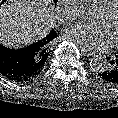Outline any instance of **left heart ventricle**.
Segmentation results:
<instances>
[{
    "instance_id": "left-heart-ventricle-1",
    "label": "left heart ventricle",
    "mask_w": 118,
    "mask_h": 118,
    "mask_svg": "<svg viewBox=\"0 0 118 118\" xmlns=\"http://www.w3.org/2000/svg\"><path fill=\"white\" fill-rule=\"evenodd\" d=\"M95 22L98 25H102L107 30L113 44L118 43V10L110 17H106L100 13L95 18Z\"/></svg>"
}]
</instances>
